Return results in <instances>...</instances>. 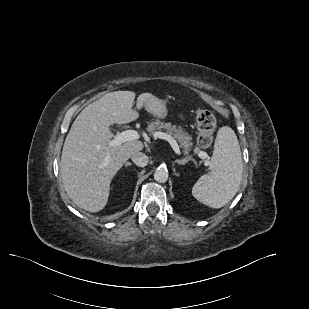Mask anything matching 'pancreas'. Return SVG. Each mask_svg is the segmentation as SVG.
<instances>
[{"mask_svg":"<svg viewBox=\"0 0 309 309\" xmlns=\"http://www.w3.org/2000/svg\"><path fill=\"white\" fill-rule=\"evenodd\" d=\"M164 130L167 134L173 136V138L179 143L180 147L183 149L184 154H189L193 148V143L191 142L192 136L185 132L183 128L176 127L171 123H164L159 120L151 122L148 125L147 131L150 134H154L156 131ZM194 154L199 155L201 150L199 147L195 146L193 148Z\"/></svg>","mask_w":309,"mask_h":309,"instance_id":"cf45deb5","label":"pancreas"}]
</instances>
